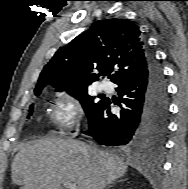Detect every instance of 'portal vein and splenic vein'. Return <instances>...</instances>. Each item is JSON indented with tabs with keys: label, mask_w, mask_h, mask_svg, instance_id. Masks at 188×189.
I'll use <instances>...</instances> for the list:
<instances>
[{
	"label": "portal vein and splenic vein",
	"mask_w": 188,
	"mask_h": 189,
	"mask_svg": "<svg viewBox=\"0 0 188 189\" xmlns=\"http://www.w3.org/2000/svg\"><path fill=\"white\" fill-rule=\"evenodd\" d=\"M63 186L66 189H78V186L75 183H71V182H63Z\"/></svg>",
	"instance_id": "portal-vein-and-splenic-vein-1"
}]
</instances>
